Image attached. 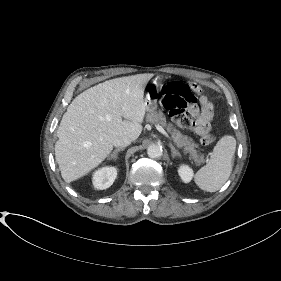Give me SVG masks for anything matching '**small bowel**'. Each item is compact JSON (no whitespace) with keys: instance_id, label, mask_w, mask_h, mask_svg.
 <instances>
[{"instance_id":"c3829d8e","label":"small bowel","mask_w":281,"mask_h":281,"mask_svg":"<svg viewBox=\"0 0 281 281\" xmlns=\"http://www.w3.org/2000/svg\"><path fill=\"white\" fill-rule=\"evenodd\" d=\"M200 108L192 109L191 113L196 117L194 123V131L202 135L210 129V121L213 118V107L206 96H201L199 99Z\"/></svg>"}]
</instances>
